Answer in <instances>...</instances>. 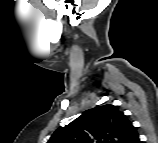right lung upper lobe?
<instances>
[{
    "label": "right lung upper lobe",
    "mask_w": 158,
    "mask_h": 143,
    "mask_svg": "<svg viewBox=\"0 0 158 143\" xmlns=\"http://www.w3.org/2000/svg\"><path fill=\"white\" fill-rule=\"evenodd\" d=\"M136 127L118 106H97L58 128L48 143H138Z\"/></svg>",
    "instance_id": "obj_1"
}]
</instances>
